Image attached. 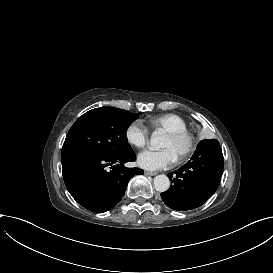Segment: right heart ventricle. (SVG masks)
I'll return each instance as SVG.
<instances>
[{
	"label": "right heart ventricle",
	"instance_id": "1",
	"mask_svg": "<svg viewBox=\"0 0 273 273\" xmlns=\"http://www.w3.org/2000/svg\"><path fill=\"white\" fill-rule=\"evenodd\" d=\"M139 123L143 124V121L139 120ZM147 124L152 128L162 129L165 133L168 131L185 130L188 128L186 119L177 113H165L152 116L149 118Z\"/></svg>",
	"mask_w": 273,
	"mask_h": 273
}]
</instances>
